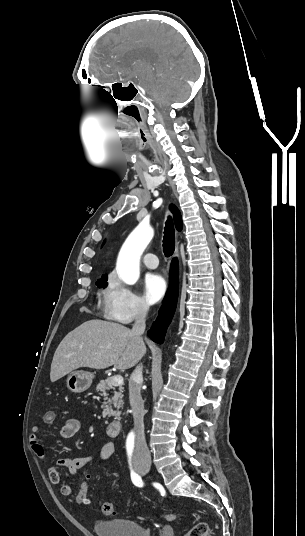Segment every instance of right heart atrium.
I'll use <instances>...</instances> for the list:
<instances>
[{
	"label": "right heart atrium",
	"instance_id": "right-heart-atrium-1",
	"mask_svg": "<svg viewBox=\"0 0 305 536\" xmlns=\"http://www.w3.org/2000/svg\"><path fill=\"white\" fill-rule=\"evenodd\" d=\"M150 310L148 302L129 287L112 279L104 298V314L121 324L145 317Z\"/></svg>",
	"mask_w": 305,
	"mask_h": 536
}]
</instances>
